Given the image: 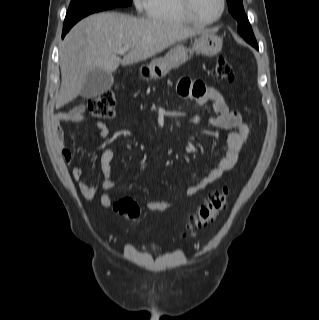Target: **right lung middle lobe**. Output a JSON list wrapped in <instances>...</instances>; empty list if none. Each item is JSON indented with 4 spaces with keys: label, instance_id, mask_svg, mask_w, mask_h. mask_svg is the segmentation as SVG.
Returning <instances> with one entry per match:
<instances>
[{
    "label": "right lung middle lobe",
    "instance_id": "dd1d6c3e",
    "mask_svg": "<svg viewBox=\"0 0 319 320\" xmlns=\"http://www.w3.org/2000/svg\"><path fill=\"white\" fill-rule=\"evenodd\" d=\"M131 3L132 0H71L63 29L71 28L76 22L91 13L129 6Z\"/></svg>",
    "mask_w": 319,
    "mask_h": 320
}]
</instances>
